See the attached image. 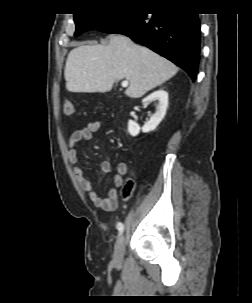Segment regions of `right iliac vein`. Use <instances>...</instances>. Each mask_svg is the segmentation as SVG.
I'll list each match as a JSON object with an SVG mask.
<instances>
[{
    "instance_id": "63e3f726",
    "label": "right iliac vein",
    "mask_w": 252,
    "mask_h": 303,
    "mask_svg": "<svg viewBox=\"0 0 252 303\" xmlns=\"http://www.w3.org/2000/svg\"><path fill=\"white\" fill-rule=\"evenodd\" d=\"M124 250H125V237L124 235H121L115 243L114 253H113V261L118 265H121L123 262Z\"/></svg>"
}]
</instances>
